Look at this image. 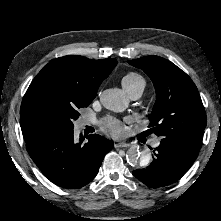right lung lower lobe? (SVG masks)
<instances>
[{"mask_svg": "<svg viewBox=\"0 0 221 221\" xmlns=\"http://www.w3.org/2000/svg\"><path fill=\"white\" fill-rule=\"evenodd\" d=\"M88 142L75 143L73 130L49 131L29 138L27 151L41 170L54 184L67 189H78L97 175L104 156L112 150L113 142L91 134Z\"/></svg>", "mask_w": 221, "mask_h": 221, "instance_id": "obj_1", "label": "right lung lower lobe"}]
</instances>
